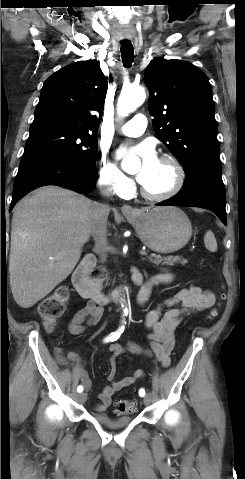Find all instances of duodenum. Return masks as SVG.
<instances>
[{"label": "duodenum", "instance_id": "duodenum-1", "mask_svg": "<svg viewBox=\"0 0 245 479\" xmlns=\"http://www.w3.org/2000/svg\"><path fill=\"white\" fill-rule=\"evenodd\" d=\"M96 263L94 255L88 254L83 258L73 273L74 288L81 297L90 298L98 304H107L112 300H118L124 294V289L117 288L104 293L98 282L101 273L95 270ZM133 282L136 287H142V278L136 270L133 271Z\"/></svg>", "mask_w": 245, "mask_h": 479}]
</instances>
